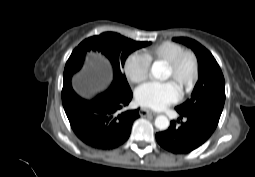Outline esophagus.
Here are the masks:
<instances>
[{
    "label": "esophagus",
    "instance_id": "34e87169",
    "mask_svg": "<svg viewBox=\"0 0 255 177\" xmlns=\"http://www.w3.org/2000/svg\"><path fill=\"white\" fill-rule=\"evenodd\" d=\"M139 115L140 116H156L157 114L151 110L145 109V108H141L139 110Z\"/></svg>",
    "mask_w": 255,
    "mask_h": 177
}]
</instances>
